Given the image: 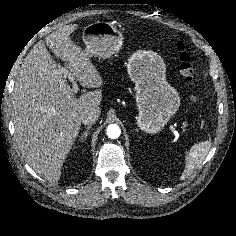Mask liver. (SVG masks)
Returning a JSON list of instances; mask_svg holds the SVG:
<instances>
[{"label":"liver","mask_w":236,"mask_h":236,"mask_svg":"<svg viewBox=\"0 0 236 236\" xmlns=\"http://www.w3.org/2000/svg\"><path fill=\"white\" fill-rule=\"evenodd\" d=\"M76 25H67L39 41L21 65L12 94V115L18 147L29 166L52 185L81 126V115L100 113L102 78L87 54L70 38ZM45 44L66 69H61ZM83 87L93 88L76 98L65 71Z\"/></svg>","instance_id":"1"}]
</instances>
